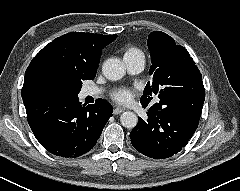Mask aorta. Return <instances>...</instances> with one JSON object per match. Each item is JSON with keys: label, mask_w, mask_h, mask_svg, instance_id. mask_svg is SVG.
Instances as JSON below:
<instances>
[{"label": "aorta", "mask_w": 240, "mask_h": 191, "mask_svg": "<svg viewBox=\"0 0 240 191\" xmlns=\"http://www.w3.org/2000/svg\"><path fill=\"white\" fill-rule=\"evenodd\" d=\"M102 71L108 80L117 81L125 75V66L119 59L109 58L104 62ZM120 122L123 127L132 129L137 125L138 117L135 113L126 111L121 114Z\"/></svg>", "instance_id": "obj_1"}]
</instances>
